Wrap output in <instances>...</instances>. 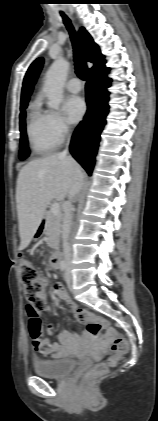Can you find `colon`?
I'll use <instances>...</instances> for the list:
<instances>
[{"label":"colon","instance_id":"colon-1","mask_svg":"<svg viewBox=\"0 0 158 421\" xmlns=\"http://www.w3.org/2000/svg\"><path fill=\"white\" fill-rule=\"evenodd\" d=\"M20 273L24 291L27 299V309L29 310L30 317L34 324L38 325L40 320L38 312L44 308L46 300L44 290L47 285L46 280L40 276L36 268L26 259H21ZM80 320L86 325V330L89 336L98 338L104 336L111 342V350L113 355L107 362L96 364L85 376L86 382H91L97 377L104 374L109 366H114L120 357L128 352V341L118 334L115 330L111 329L108 323L94 315L88 316L82 314Z\"/></svg>","mask_w":158,"mask_h":421}]
</instances>
